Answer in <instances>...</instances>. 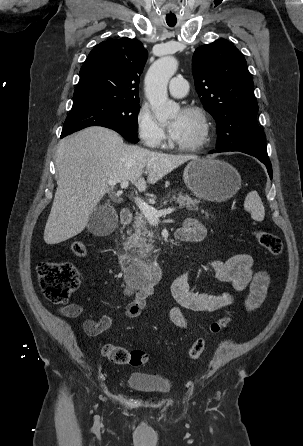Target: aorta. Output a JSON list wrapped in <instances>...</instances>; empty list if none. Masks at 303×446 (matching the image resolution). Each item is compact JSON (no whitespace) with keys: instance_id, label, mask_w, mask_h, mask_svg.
I'll return each mask as SVG.
<instances>
[{"instance_id":"obj_1","label":"aorta","mask_w":303,"mask_h":446,"mask_svg":"<svg viewBox=\"0 0 303 446\" xmlns=\"http://www.w3.org/2000/svg\"><path fill=\"white\" fill-rule=\"evenodd\" d=\"M178 68L177 60L166 56L155 61L145 76V93L156 119L160 122L174 117L179 107L169 100L167 85Z\"/></svg>"}]
</instances>
